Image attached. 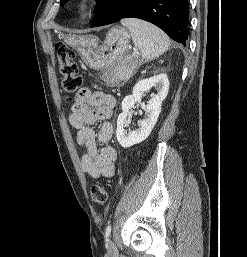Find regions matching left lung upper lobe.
Here are the masks:
<instances>
[{
	"instance_id": "obj_1",
	"label": "left lung upper lobe",
	"mask_w": 247,
	"mask_h": 257,
	"mask_svg": "<svg viewBox=\"0 0 247 257\" xmlns=\"http://www.w3.org/2000/svg\"><path fill=\"white\" fill-rule=\"evenodd\" d=\"M66 1H68V0H61V1H60V5L63 6ZM96 1H97L98 8H99V7L103 4V2H104L105 0H96ZM98 8H97V9H98ZM95 11H96V10H95Z\"/></svg>"
}]
</instances>
